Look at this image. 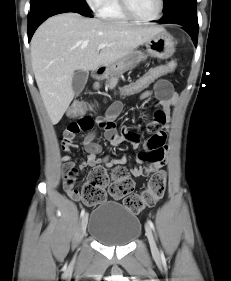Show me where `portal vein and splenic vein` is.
<instances>
[{
  "mask_svg": "<svg viewBox=\"0 0 231 281\" xmlns=\"http://www.w3.org/2000/svg\"><path fill=\"white\" fill-rule=\"evenodd\" d=\"M106 46H107L106 44H100V45L98 46V50H101V49L105 48Z\"/></svg>",
  "mask_w": 231,
  "mask_h": 281,
  "instance_id": "18ae733b",
  "label": "portal vein and splenic vein"
}]
</instances>
